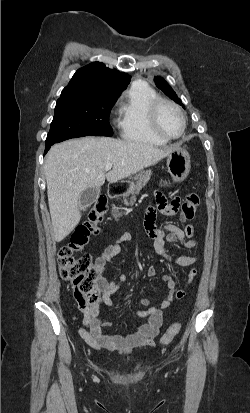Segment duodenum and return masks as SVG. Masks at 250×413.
I'll list each match as a JSON object with an SVG mask.
<instances>
[{
  "instance_id": "410a0bca",
  "label": "duodenum",
  "mask_w": 250,
  "mask_h": 413,
  "mask_svg": "<svg viewBox=\"0 0 250 413\" xmlns=\"http://www.w3.org/2000/svg\"><path fill=\"white\" fill-rule=\"evenodd\" d=\"M118 191H119L118 184H110L107 189V194L110 198H113L118 194Z\"/></svg>"
}]
</instances>
